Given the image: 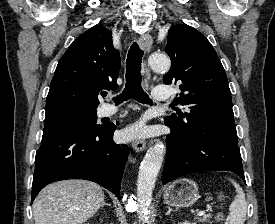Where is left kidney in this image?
Masks as SVG:
<instances>
[{
  "label": "left kidney",
  "mask_w": 275,
  "mask_h": 224,
  "mask_svg": "<svg viewBox=\"0 0 275 224\" xmlns=\"http://www.w3.org/2000/svg\"><path fill=\"white\" fill-rule=\"evenodd\" d=\"M180 224H191V223L184 222V223H180ZM192 224H195V223H192Z\"/></svg>",
  "instance_id": "obj_1"
}]
</instances>
